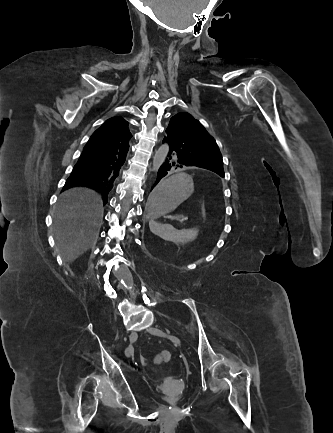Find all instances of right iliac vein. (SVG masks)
Masks as SVG:
<instances>
[{
	"label": "right iliac vein",
	"instance_id": "1",
	"mask_svg": "<svg viewBox=\"0 0 333 433\" xmlns=\"http://www.w3.org/2000/svg\"><path fill=\"white\" fill-rule=\"evenodd\" d=\"M136 339H137V333H136L135 331H132V332L129 334V340H130L131 343H133V342L136 341ZM125 354H126L127 357H131L132 354H133V350H132V348H131V347H128V348L126 349V351H125Z\"/></svg>",
	"mask_w": 333,
	"mask_h": 433
}]
</instances>
